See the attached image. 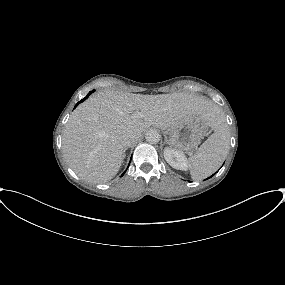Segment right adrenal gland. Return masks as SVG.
Here are the masks:
<instances>
[{"instance_id": "1", "label": "right adrenal gland", "mask_w": 285, "mask_h": 285, "mask_svg": "<svg viewBox=\"0 0 285 285\" xmlns=\"http://www.w3.org/2000/svg\"><path fill=\"white\" fill-rule=\"evenodd\" d=\"M126 149H127V148H126ZM126 149H125V150H126ZM123 157H125V153H124Z\"/></svg>"}]
</instances>
